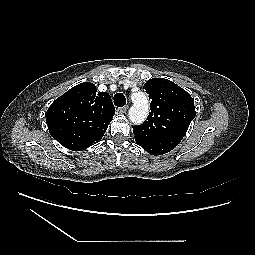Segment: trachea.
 Masks as SVG:
<instances>
[{
  "mask_svg": "<svg viewBox=\"0 0 255 255\" xmlns=\"http://www.w3.org/2000/svg\"><path fill=\"white\" fill-rule=\"evenodd\" d=\"M114 104L117 107H123L126 104L125 96L122 93H117L114 96Z\"/></svg>",
  "mask_w": 255,
  "mask_h": 255,
  "instance_id": "obj_1",
  "label": "trachea"
}]
</instances>
